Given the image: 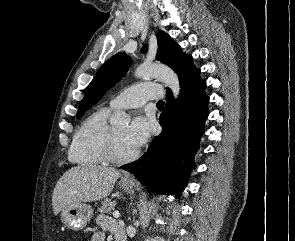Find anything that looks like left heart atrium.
Listing matches in <instances>:
<instances>
[{"label": "left heart atrium", "mask_w": 295, "mask_h": 241, "mask_svg": "<svg viewBox=\"0 0 295 241\" xmlns=\"http://www.w3.org/2000/svg\"><path fill=\"white\" fill-rule=\"evenodd\" d=\"M152 123L143 116H137L126 129V141L134 148L138 149L146 143L150 136Z\"/></svg>", "instance_id": "39dd6f15"}]
</instances>
